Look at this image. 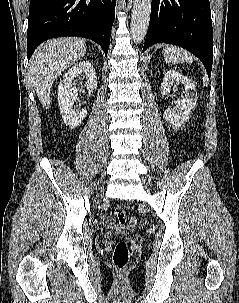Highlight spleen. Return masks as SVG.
Masks as SVG:
<instances>
[{"label": "spleen", "instance_id": "1", "mask_svg": "<svg viewBox=\"0 0 239 303\" xmlns=\"http://www.w3.org/2000/svg\"><path fill=\"white\" fill-rule=\"evenodd\" d=\"M162 53L166 63L176 64L193 62V56L188 51L177 46H167Z\"/></svg>", "mask_w": 239, "mask_h": 303}]
</instances>
